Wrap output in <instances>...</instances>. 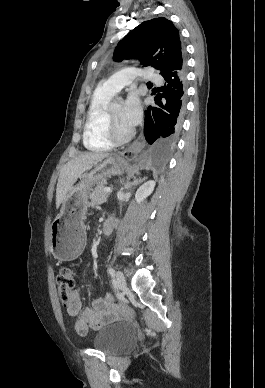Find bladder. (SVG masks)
Wrapping results in <instances>:
<instances>
[{"mask_svg":"<svg viewBox=\"0 0 265 388\" xmlns=\"http://www.w3.org/2000/svg\"><path fill=\"white\" fill-rule=\"evenodd\" d=\"M134 332L131 324L125 322H113L97 331L93 340L96 349L107 353L129 348Z\"/></svg>","mask_w":265,"mask_h":388,"instance_id":"31cf9c89","label":"bladder"}]
</instances>
